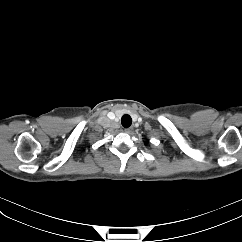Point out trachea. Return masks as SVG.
<instances>
[{
	"instance_id": "1",
	"label": "trachea",
	"mask_w": 242,
	"mask_h": 242,
	"mask_svg": "<svg viewBox=\"0 0 242 242\" xmlns=\"http://www.w3.org/2000/svg\"><path fill=\"white\" fill-rule=\"evenodd\" d=\"M121 124L123 127L128 128L132 124V119L129 115L125 114L121 118Z\"/></svg>"
}]
</instances>
